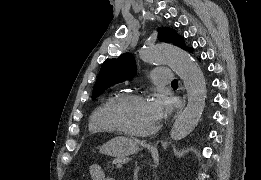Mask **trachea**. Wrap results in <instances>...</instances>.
<instances>
[{
  "label": "trachea",
  "instance_id": "1",
  "mask_svg": "<svg viewBox=\"0 0 261 180\" xmlns=\"http://www.w3.org/2000/svg\"><path fill=\"white\" fill-rule=\"evenodd\" d=\"M171 83L172 84H178V80H173Z\"/></svg>",
  "mask_w": 261,
  "mask_h": 180
}]
</instances>
